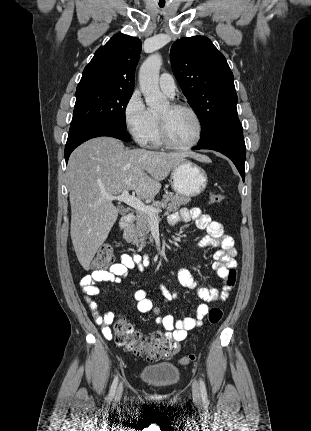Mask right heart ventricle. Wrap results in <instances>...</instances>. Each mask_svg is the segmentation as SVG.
Returning <instances> with one entry per match:
<instances>
[{"label": "right heart ventricle", "mask_w": 311, "mask_h": 431, "mask_svg": "<svg viewBox=\"0 0 311 431\" xmlns=\"http://www.w3.org/2000/svg\"><path fill=\"white\" fill-rule=\"evenodd\" d=\"M150 124L147 132L148 141L153 146H160L162 143L159 139V131H158V116L155 113L150 112Z\"/></svg>", "instance_id": "1"}]
</instances>
